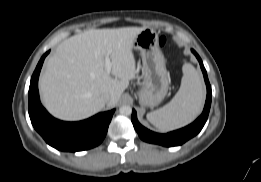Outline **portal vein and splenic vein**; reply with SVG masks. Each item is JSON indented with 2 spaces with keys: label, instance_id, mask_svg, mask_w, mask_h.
Masks as SVG:
<instances>
[{
  "label": "portal vein and splenic vein",
  "instance_id": "1",
  "mask_svg": "<svg viewBox=\"0 0 261 182\" xmlns=\"http://www.w3.org/2000/svg\"><path fill=\"white\" fill-rule=\"evenodd\" d=\"M112 69V62L108 55L105 57V70L107 73H110Z\"/></svg>",
  "mask_w": 261,
  "mask_h": 182
}]
</instances>
